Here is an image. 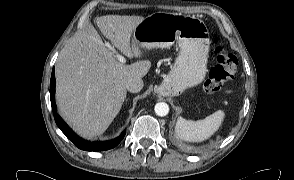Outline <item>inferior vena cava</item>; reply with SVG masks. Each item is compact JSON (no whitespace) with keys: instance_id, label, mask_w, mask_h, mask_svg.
Wrapping results in <instances>:
<instances>
[{"instance_id":"602c4592","label":"inferior vena cava","mask_w":294,"mask_h":180,"mask_svg":"<svg viewBox=\"0 0 294 180\" xmlns=\"http://www.w3.org/2000/svg\"><path fill=\"white\" fill-rule=\"evenodd\" d=\"M143 81L140 78H132L126 84V89L131 93L140 92L143 88Z\"/></svg>"}]
</instances>
